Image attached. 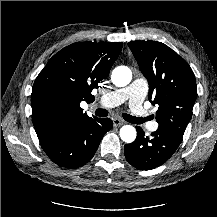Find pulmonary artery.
Here are the masks:
<instances>
[{"label":"pulmonary artery","mask_w":217,"mask_h":217,"mask_svg":"<svg viewBox=\"0 0 217 217\" xmlns=\"http://www.w3.org/2000/svg\"><path fill=\"white\" fill-rule=\"evenodd\" d=\"M148 84L142 78L135 79L128 87L118 89L107 93L99 99V105L103 108H112L128 102L132 115L144 123L148 122L147 128L150 131L158 129V123L155 121L149 122L148 113L143 109L142 102L147 94Z\"/></svg>","instance_id":"pulmonary-artery-1"}]
</instances>
